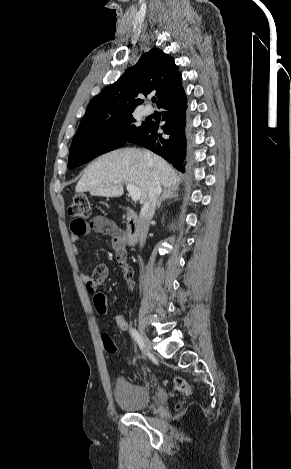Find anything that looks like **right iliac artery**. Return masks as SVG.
Returning a JSON list of instances; mask_svg holds the SVG:
<instances>
[{"label": "right iliac artery", "mask_w": 291, "mask_h": 469, "mask_svg": "<svg viewBox=\"0 0 291 469\" xmlns=\"http://www.w3.org/2000/svg\"><path fill=\"white\" fill-rule=\"evenodd\" d=\"M130 333L132 335V337L137 341L139 347L141 350H143L144 348V344H143V341H142V338L141 336L139 335V333L135 330V329H130Z\"/></svg>", "instance_id": "82829eb1"}]
</instances>
